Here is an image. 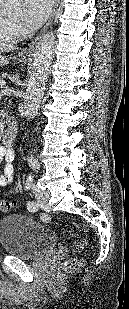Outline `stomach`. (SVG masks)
Returning <instances> with one entry per match:
<instances>
[{
	"mask_svg": "<svg viewBox=\"0 0 129 309\" xmlns=\"http://www.w3.org/2000/svg\"><path fill=\"white\" fill-rule=\"evenodd\" d=\"M10 59L18 60L19 62L28 61L29 57L23 54H18L17 56L10 57ZM9 63V58L0 54V67Z\"/></svg>",
	"mask_w": 129,
	"mask_h": 309,
	"instance_id": "obj_1",
	"label": "stomach"
}]
</instances>
